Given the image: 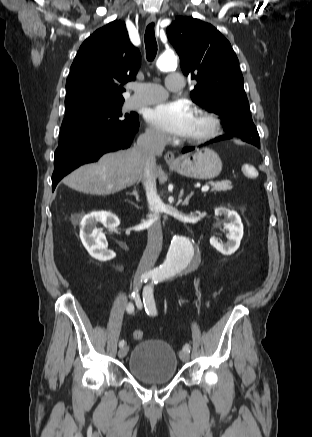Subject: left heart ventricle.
I'll use <instances>...</instances> for the list:
<instances>
[{"instance_id":"left-heart-ventricle-1","label":"left heart ventricle","mask_w":312,"mask_h":437,"mask_svg":"<svg viewBox=\"0 0 312 437\" xmlns=\"http://www.w3.org/2000/svg\"><path fill=\"white\" fill-rule=\"evenodd\" d=\"M204 129H205V122L203 120H201L200 118L194 116L192 130L189 133V135L187 136V138H190V137H193V136L199 134Z\"/></svg>"}]
</instances>
